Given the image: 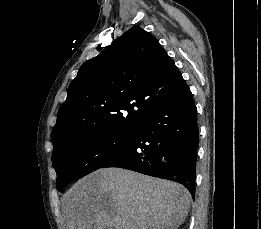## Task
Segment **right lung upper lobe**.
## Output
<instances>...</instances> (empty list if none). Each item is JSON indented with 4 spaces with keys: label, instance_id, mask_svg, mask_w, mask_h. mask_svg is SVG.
<instances>
[{
    "label": "right lung upper lobe",
    "instance_id": "right-lung-upper-lobe-1",
    "mask_svg": "<svg viewBox=\"0 0 261 229\" xmlns=\"http://www.w3.org/2000/svg\"><path fill=\"white\" fill-rule=\"evenodd\" d=\"M181 81L158 40L133 26L80 67L58 112L53 150L83 132L135 133Z\"/></svg>",
    "mask_w": 261,
    "mask_h": 229
}]
</instances>
